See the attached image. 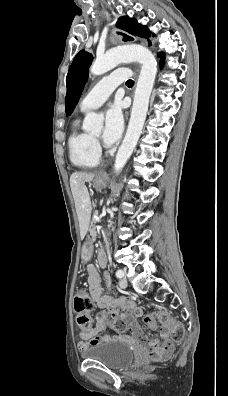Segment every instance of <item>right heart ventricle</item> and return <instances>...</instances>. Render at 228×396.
Wrapping results in <instances>:
<instances>
[{"label":"right heart ventricle","mask_w":228,"mask_h":396,"mask_svg":"<svg viewBox=\"0 0 228 396\" xmlns=\"http://www.w3.org/2000/svg\"><path fill=\"white\" fill-rule=\"evenodd\" d=\"M70 159L78 167L91 169L100 162V152L94 137L76 121L68 139Z\"/></svg>","instance_id":"right-heart-ventricle-1"}]
</instances>
